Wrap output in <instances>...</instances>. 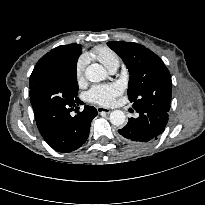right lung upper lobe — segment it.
<instances>
[{
    "mask_svg": "<svg viewBox=\"0 0 205 205\" xmlns=\"http://www.w3.org/2000/svg\"><path fill=\"white\" fill-rule=\"evenodd\" d=\"M81 54L79 44L61 45L45 54L36 64L29 80L32 86L43 77L58 72L68 71L71 67H76L77 58Z\"/></svg>",
    "mask_w": 205,
    "mask_h": 205,
    "instance_id": "cb5924a9",
    "label": "right lung upper lobe"
}]
</instances>
